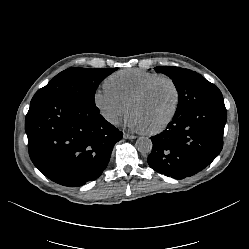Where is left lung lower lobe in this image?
Instances as JSON below:
<instances>
[{
    "instance_id": "1",
    "label": "left lung lower lobe",
    "mask_w": 249,
    "mask_h": 249,
    "mask_svg": "<svg viewBox=\"0 0 249 249\" xmlns=\"http://www.w3.org/2000/svg\"><path fill=\"white\" fill-rule=\"evenodd\" d=\"M226 119L224 102L200 105L174 116L163 132L151 137L148 164L175 179L196 174L222 150Z\"/></svg>"
}]
</instances>
